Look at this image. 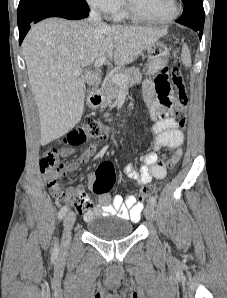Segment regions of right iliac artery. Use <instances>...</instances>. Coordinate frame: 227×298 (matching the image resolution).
<instances>
[{
  "label": "right iliac artery",
  "instance_id": "1",
  "mask_svg": "<svg viewBox=\"0 0 227 298\" xmlns=\"http://www.w3.org/2000/svg\"><path fill=\"white\" fill-rule=\"evenodd\" d=\"M67 210H68V208H67L66 205L63 206V207L60 209L59 214H58V218H59V220H61V219L65 216ZM53 253H54L55 255L58 253V244H57V241L55 242L54 249H53Z\"/></svg>",
  "mask_w": 227,
  "mask_h": 298
}]
</instances>
